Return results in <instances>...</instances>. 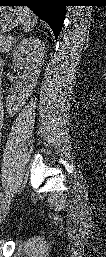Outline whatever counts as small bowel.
<instances>
[{"instance_id": "c3829d8e", "label": "small bowel", "mask_w": 106, "mask_h": 257, "mask_svg": "<svg viewBox=\"0 0 106 257\" xmlns=\"http://www.w3.org/2000/svg\"><path fill=\"white\" fill-rule=\"evenodd\" d=\"M1 108H2V107H1ZM1 111H2V110H1ZM0 119H1L0 122H1V126H2V123H3V115H2V112H1V118H0Z\"/></svg>"}]
</instances>
